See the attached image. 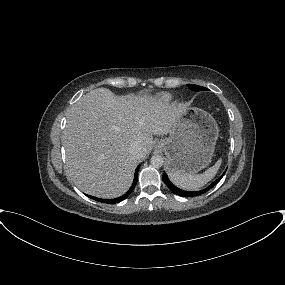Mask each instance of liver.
Wrapping results in <instances>:
<instances>
[{
  "mask_svg": "<svg viewBox=\"0 0 285 285\" xmlns=\"http://www.w3.org/2000/svg\"><path fill=\"white\" fill-rule=\"evenodd\" d=\"M186 110L151 96H116L97 88L69 110L64 130L66 172L83 192L116 198L128 191L138 161L152 150L153 135L171 132ZM133 143L141 153H130Z\"/></svg>",
  "mask_w": 285,
  "mask_h": 285,
  "instance_id": "1",
  "label": "liver"
}]
</instances>
